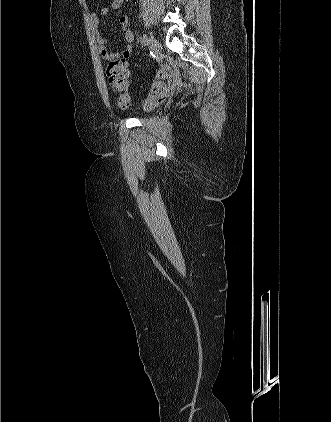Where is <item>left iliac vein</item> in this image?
I'll return each mask as SVG.
<instances>
[{
  "instance_id": "obj_1",
  "label": "left iliac vein",
  "mask_w": 331,
  "mask_h": 422,
  "mask_svg": "<svg viewBox=\"0 0 331 422\" xmlns=\"http://www.w3.org/2000/svg\"><path fill=\"white\" fill-rule=\"evenodd\" d=\"M149 44L151 46V49L153 50V52L159 56L161 51H162V45L161 43L155 39L153 36H150L149 38Z\"/></svg>"
}]
</instances>
